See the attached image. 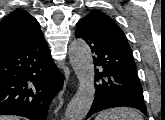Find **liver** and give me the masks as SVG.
Returning a JSON list of instances; mask_svg holds the SVG:
<instances>
[{
    "label": "liver",
    "instance_id": "1",
    "mask_svg": "<svg viewBox=\"0 0 165 120\" xmlns=\"http://www.w3.org/2000/svg\"><path fill=\"white\" fill-rule=\"evenodd\" d=\"M0 120H19V117H15V116H0Z\"/></svg>",
    "mask_w": 165,
    "mask_h": 120
}]
</instances>
